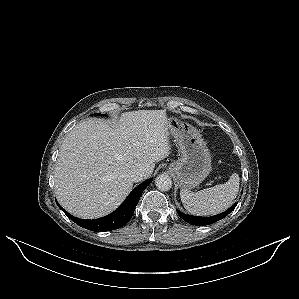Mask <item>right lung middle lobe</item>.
<instances>
[{"label":"right lung middle lobe","instance_id":"obj_1","mask_svg":"<svg viewBox=\"0 0 299 299\" xmlns=\"http://www.w3.org/2000/svg\"><path fill=\"white\" fill-rule=\"evenodd\" d=\"M96 115H99V116H105L104 114H96Z\"/></svg>","mask_w":299,"mask_h":299}]
</instances>
